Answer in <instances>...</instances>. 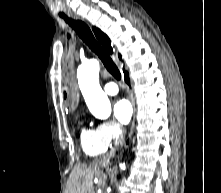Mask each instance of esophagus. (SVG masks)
<instances>
[{"instance_id":"obj_1","label":"esophagus","mask_w":221,"mask_h":193,"mask_svg":"<svg viewBox=\"0 0 221 193\" xmlns=\"http://www.w3.org/2000/svg\"><path fill=\"white\" fill-rule=\"evenodd\" d=\"M72 15V14H71ZM74 16L76 17V18H79V19H81V20H83L84 21V19L83 18H80L79 16H77L76 14H74ZM135 114H136V107H135V104L133 103V120H132V123L130 124L131 126H132V128H130V131H133V127H134V123H135Z\"/></svg>"}]
</instances>
